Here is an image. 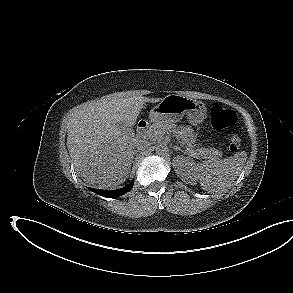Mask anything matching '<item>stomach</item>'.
Here are the masks:
<instances>
[{"label": "stomach", "mask_w": 293, "mask_h": 293, "mask_svg": "<svg viewBox=\"0 0 293 293\" xmlns=\"http://www.w3.org/2000/svg\"><path fill=\"white\" fill-rule=\"evenodd\" d=\"M186 115L189 123L196 126L204 121L207 108L204 103L182 95H167L149 112L152 123L178 122Z\"/></svg>", "instance_id": "0dacf381"}]
</instances>
